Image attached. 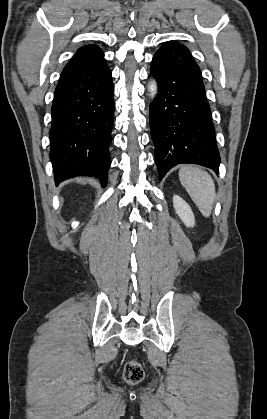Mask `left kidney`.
Returning <instances> with one entry per match:
<instances>
[{
    "mask_svg": "<svg viewBox=\"0 0 267 419\" xmlns=\"http://www.w3.org/2000/svg\"><path fill=\"white\" fill-rule=\"evenodd\" d=\"M173 206L174 209L179 216V218L182 220V222L187 227H194L195 225V218L194 214L192 212L191 207L185 200H183L180 196L174 195L173 196Z\"/></svg>",
    "mask_w": 267,
    "mask_h": 419,
    "instance_id": "left-kidney-1",
    "label": "left kidney"
}]
</instances>
